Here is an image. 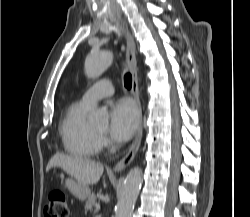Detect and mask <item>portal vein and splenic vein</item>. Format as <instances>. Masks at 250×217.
Wrapping results in <instances>:
<instances>
[{
	"label": "portal vein and splenic vein",
	"instance_id": "1",
	"mask_svg": "<svg viewBox=\"0 0 250 217\" xmlns=\"http://www.w3.org/2000/svg\"><path fill=\"white\" fill-rule=\"evenodd\" d=\"M95 208H96V211H98V210L100 209V204L97 203V204L95 205Z\"/></svg>",
	"mask_w": 250,
	"mask_h": 217
}]
</instances>
